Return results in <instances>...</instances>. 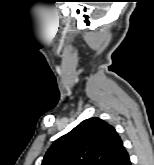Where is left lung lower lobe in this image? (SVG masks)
Masks as SVG:
<instances>
[{
    "instance_id": "left-lung-lower-lobe-1",
    "label": "left lung lower lobe",
    "mask_w": 154,
    "mask_h": 165,
    "mask_svg": "<svg viewBox=\"0 0 154 165\" xmlns=\"http://www.w3.org/2000/svg\"><path fill=\"white\" fill-rule=\"evenodd\" d=\"M116 165H131L129 155L127 151L124 149V147L120 151V157Z\"/></svg>"
}]
</instances>
